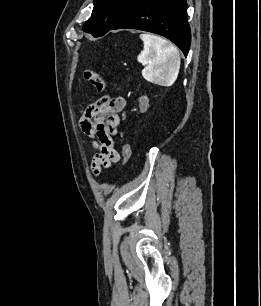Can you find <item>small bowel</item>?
I'll return each mask as SVG.
<instances>
[{"instance_id":"1","label":"small bowel","mask_w":261,"mask_h":306,"mask_svg":"<svg viewBox=\"0 0 261 306\" xmlns=\"http://www.w3.org/2000/svg\"><path fill=\"white\" fill-rule=\"evenodd\" d=\"M125 106L126 100L122 96L103 97L90 104L80 120L83 133L91 140L96 151L92 160V170L95 174H99L102 168L111 167L120 159L112 136L118 132V114Z\"/></svg>"}]
</instances>
